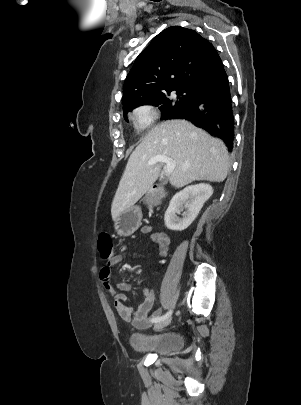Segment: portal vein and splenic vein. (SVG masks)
Instances as JSON below:
<instances>
[{
	"instance_id": "portal-vein-and-splenic-vein-1",
	"label": "portal vein and splenic vein",
	"mask_w": 301,
	"mask_h": 405,
	"mask_svg": "<svg viewBox=\"0 0 301 405\" xmlns=\"http://www.w3.org/2000/svg\"><path fill=\"white\" fill-rule=\"evenodd\" d=\"M156 163H164L165 164V168H164V172H165V176H169L174 168H175V161H173L171 158L165 156V155H157L152 157L149 161H148V166H152Z\"/></svg>"
}]
</instances>
